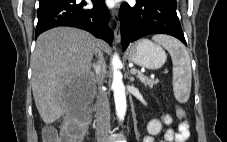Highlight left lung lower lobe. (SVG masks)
I'll list each match as a JSON object with an SVG mask.
<instances>
[{"mask_svg": "<svg viewBox=\"0 0 227 142\" xmlns=\"http://www.w3.org/2000/svg\"><path fill=\"white\" fill-rule=\"evenodd\" d=\"M176 0H137L135 6L120 8L122 50L149 34H168L186 40L176 14Z\"/></svg>", "mask_w": 227, "mask_h": 142, "instance_id": "0a47b994", "label": "left lung lower lobe"}]
</instances>
